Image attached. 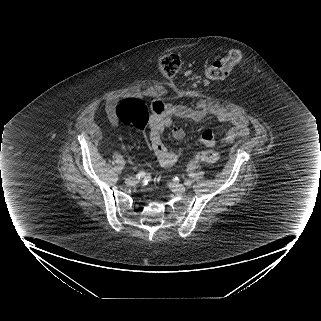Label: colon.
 Segmentation results:
<instances>
[{
	"mask_svg": "<svg viewBox=\"0 0 321 321\" xmlns=\"http://www.w3.org/2000/svg\"><path fill=\"white\" fill-rule=\"evenodd\" d=\"M242 59L243 53L238 49H233L225 57L209 66L206 76L213 80L223 79L240 64ZM157 66L163 76L171 78L178 73L181 59L175 53L165 54L159 58ZM116 117L118 123L123 126H133L139 130H144L149 122V112L146 105L136 99L122 101L116 109ZM197 158L205 163L215 164L219 160V154L213 150H204L197 154Z\"/></svg>",
	"mask_w": 321,
	"mask_h": 321,
	"instance_id": "obj_1",
	"label": "colon"
}]
</instances>
